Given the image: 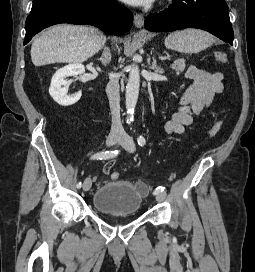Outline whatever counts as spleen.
<instances>
[{"label":"spleen","mask_w":255,"mask_h":272,"mask_svg":"<svg viewBox=\"0 0 255 272\" xmlns=\"http://www.w3.org/2000/svg\"><path fill=\"white\" fill-rule=\"evenodd\" d=\"M166 46L183 53H198L213 43V37L199 29H185L170 33L165 39Z\"/></svg>","instance_id":"obj_1"}]
</instances>
